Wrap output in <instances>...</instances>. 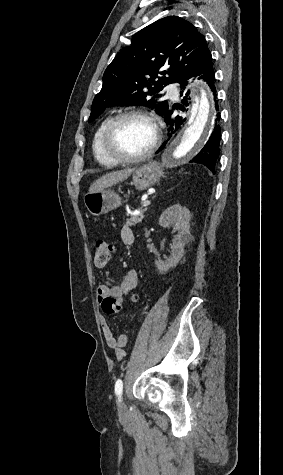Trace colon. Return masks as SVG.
<instances>
[{"label": "colon", "mask_w": 283, "mask_h": 475, "mask_svg": "<svg viewBox=\"0 0 283 475\" xmlns=\"http://www.w3.org/2000/svg\"><path fill=\"white\" fill-rule=\"evenodd\" d=\"M93 252L94 264L96 266H104L114 255L115 247L104 239H97L93 244ZM102 306L106 314H117L119 309L123 308L124 303L121 297H118L117 300L106 297L102 300Z\"/></svg>", "instance_id": "colon-1"}]
</instances>
